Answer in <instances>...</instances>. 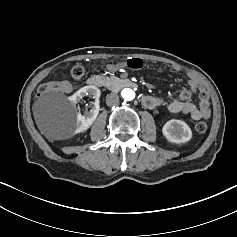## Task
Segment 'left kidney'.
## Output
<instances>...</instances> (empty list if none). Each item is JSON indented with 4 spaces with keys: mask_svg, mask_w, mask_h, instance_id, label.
I'll return each instance as SVG.
<instances>
[{
    "mask_svg": "<svg viewBox=\"0 0 237 237\" xmlns=\"http://www.w3.org/2000/svg\"><path fill=\"white\" fill-rule=\"evenodd\" d=\"M162 132L166 139L173 143H185L192 138L190 127L182 120H169L163 126Z\"/></svg>",
    "mask_w": 237,
    "mask_h": 237,
    "instance_id": "5707ae66",
    "label": "left kidney"
}]
</instances>
